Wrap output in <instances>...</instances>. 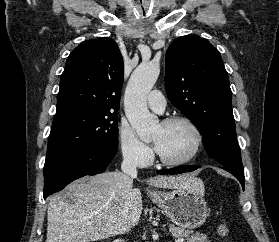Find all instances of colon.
Returning <instances> with one entry per match:
<instances>
[{"mask_svg": "<svg viewBox=\"0 0 279 242\" xmlns=\"http://www.w3.org/2000/svg\"><path fill=\"white\" fill-rule=\"evenodd\" d=\"M217 232L221 237H229L231 234L230 227L226 223H220L217 228Z\"/></svg>", "mask_w": 279, "mask_h": 242, "instance_id": "colon-1", "label": "colon"}]
</instances>
